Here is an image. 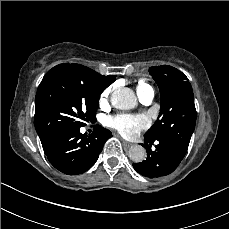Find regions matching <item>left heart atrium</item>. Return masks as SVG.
<instances>
[{
    "instance_id": "1",
    "label": "left heart atrium",
    "mask_w": 229,
    "mask_h": 229,
    "mask_svg": "<svg viewBox=\"0 0 229 229\" xmlns=\"http://www.w3.org/2000/svg\"><path fill=\"white\" fill-rule=\"evenodd\" d=\"M108 125L126 137H135L149 126L144 116L120 114L109 118Z\"/></svg>"
}]
</instances>
